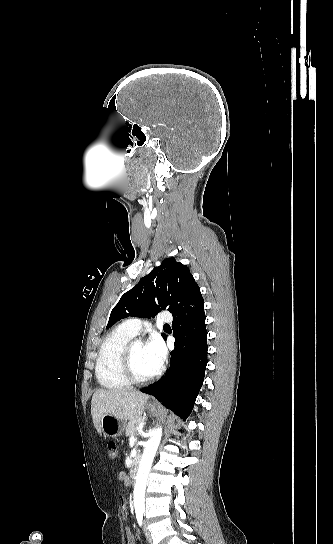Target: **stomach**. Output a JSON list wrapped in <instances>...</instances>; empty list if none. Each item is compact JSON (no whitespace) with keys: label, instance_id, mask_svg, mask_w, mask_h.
I'll use <instances>...</instances> for the list:
<instances>
[{"label":"stomach","instance_id":"1","mask_svg":"<svg viewBox=\"0 0 333 544\" xmlns=\"http://www.w3.org/2000/svg\"><path fill=\"white\" fill-rule=\"evenodd\" d=\"M148 409L150 412H156V407L149 405ZM101 432L107 437H118L122 434L125 423L123 420H120L113 416L112 414H105L100 422Z\"/></svg>","mask_w":333,"mask_h":544}]
</instances>
